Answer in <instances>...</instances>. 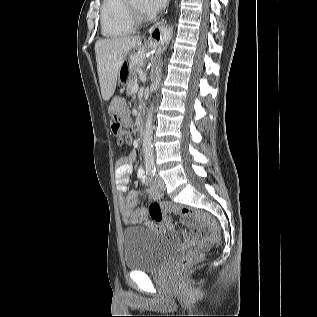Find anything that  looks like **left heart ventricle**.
<instances>
[{
	"mask_svg": "<svg viewBox=\"0 0 317 317\" xmlns=\"http://www.w3.org/2000/svg\"><path fill=\"white\" fill-rule=\"evenodd\" d=\"M131 2L135 8H137L138 10L144 13V10H143L144 0H131Z\"/></svg>",
	"mask_w": 317,
	"mask_h": 317,
	"instance_id": "b2bd125f",
	"label": "left heart ventricle"
}]
</instances>
